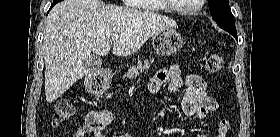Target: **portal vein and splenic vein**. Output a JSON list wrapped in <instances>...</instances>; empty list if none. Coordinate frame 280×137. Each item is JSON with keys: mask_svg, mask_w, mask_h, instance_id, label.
<instances>
[{"mask_svg": "<svg viewBox=\"0 0 280 137\" xmlns=\"http://www.w3.org/2000/svg\"><path fill=\"white\" fill-rule=\"evenodd\" d=\"M118 38H119L118 35H113L112 38H111V40H112V41H116V40H118Z\"/></svg>", "mask_w": 280, "mask_h": 137, "instance_id": "obj_1", "label": "portal vein and splenic vein"}]
</instances>
